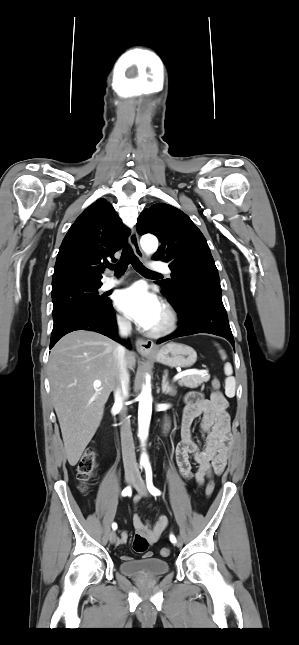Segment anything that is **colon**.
Wrapping results in <instances>:
<instances>
[{"label": "colon", "mask_w": 299, "mask_h": 645, "mask_svg": "<svg viewBox=\"0 0 299 645\" xmlns=\"http://www.w3.org/2000/svg\"><path fill=\"white\" fill-rule=\"evenodd\" d=\"M211 385H212V389L215 392H218L220 390L221 385L217 378H214L212 380ZM95 469H96V451L94 447L90 446L84 451L77 465V479L80 483L79 488L81 491H86L88 489V485L94 476ZM213 491H214V482L209 481L205 488L206 496L210 497ZM148 545L149 543L146 540V538H144L141 535H135L133 539L132 547L136 553H146L148 549ZM160 553L163 557H167L170 555V549L167 547L162 548Z\"/></svg>", "instance_id": "obj_1"}]
</instances>
